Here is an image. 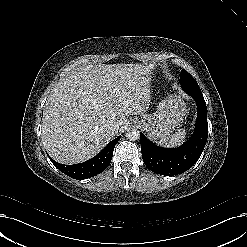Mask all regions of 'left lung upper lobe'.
Here are the masks:
<instances>
[{
    "instance_id": "left-lung-upper-lobe-1",
    "label": "left lung upper lobe",
    "mask_w": 247,
    "mask_h": 247,
    "mask_svg": "<svg viewBox=\"0 0 247 247\" xmlns=\"http://www.w3.org/2000/svg\"><path fill=\"white\" fill-rule=\"evenodd\" d=\"M180 84L182 86L197 85L196 80L184 69L181 71Z\"/></svg>"
}]
</instances>
